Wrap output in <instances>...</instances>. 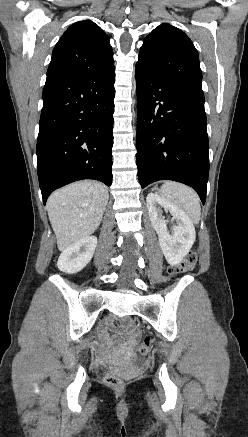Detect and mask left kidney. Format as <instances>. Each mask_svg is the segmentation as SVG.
I'll list each match as a JSON object with an SVG mask.
<instances>
[{
	"mask_svg": "<svg viewBox=\"0 0 248 437\" xmlns=\"http://www.w3.org/2000/svg\"><path fill=\"white\" fill-rule=\"evenodd\" d=\"M147 208L153 228L159 237L161 250L171 265L179 264L190 251L196 237L191 219L177 206L156 193H149L146 198ZM169 212L176 222L167 228V220L162 216L163 210Z\"/></svg>",
	"mask_w": 248,
	"mask_h": 437,
	"instance_id": "5707ae66",
	"label": "left kidney"
}]
</instances>
